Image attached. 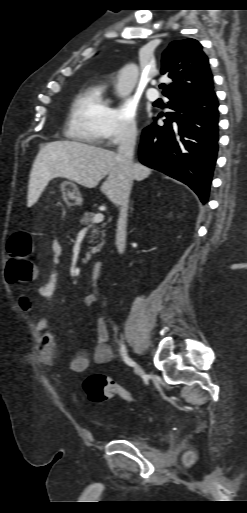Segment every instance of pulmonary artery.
Wrapping results in <instances>:
<instances>
[{
    "instance_id": "e3ab8cb5",
    "label": "pulmonary artery",
    "mask_w": 247,
    "mask_h": 513,
    "mask_svg": "<svg viewBox=\"0 0 247 513\" xmlns=\"http://www.w3.org/2000/svg\"><path fill=\"white\" fill-rule=\"evenodd\" d=\"M146 95H147V98L150 100V101H155L159 98V93L156 89L154 88H150L147 90L146 92Z\"/></svg>"
}]
</instances>
